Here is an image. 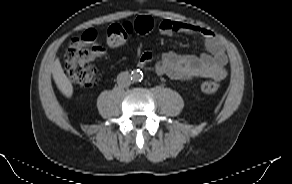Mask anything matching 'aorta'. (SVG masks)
<instances>
[{
  "label": "aorta",
  "instance_id": "762f6f07",
  "mask_svg": "<svg viewBox=\"0 0 292 184\" xmlns=\"http://www.w3.org/2000/svg\"><path fill=\"white\" fill-rule=\"evenodd\" d=\"M142 77H143V74L140 71L135 70L131 74V80L134 82L141 81Z\"/></svg>",
  "mask_w": 292,
  "mask_h": 184
}]
</instances>
